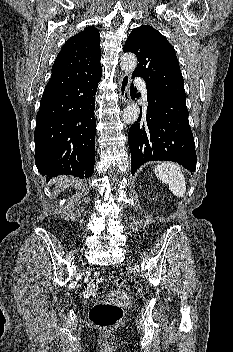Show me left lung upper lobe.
<instances>
[{
	"label": "left lung upper lobe",
	"mask_w": 233,
	"mask_h": 352,
	"mask_svg": "<svg viewBox=\"0 0 233 352\" xmlns=\"http://www.w3.org/2000/svg\"><path fill=\"white\" fill-rule=\"evenodd\" d=\"M133 52L138 59L133 76L142 77L146 85L186 104L184 80L175 50L153 27L144 25L132 30L124 52Z\"/></svg>",
	"instance_id": "1"
}]
</instances>
